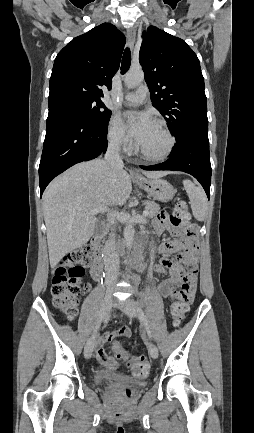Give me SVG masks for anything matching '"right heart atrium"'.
<instances>
[{
	"label": "right heart atrium",
	"instance_id": "right-heart-atrium-1",
	"mask_svg": "<svg viewBox=\"0 0 254 433\" xmlns=\"http://www.w3.org/2000/svg\"><path fill=\"white\" fill-rule=\"evenodd\" d=\"M107 138L114 147L122 151H129L132 148L131 139L118 116L111 117L107 127Z\"/></svg>",
	"mask_w": 254,
	"mask_h": 433
}]
</instances>
